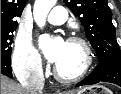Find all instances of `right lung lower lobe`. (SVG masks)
<instances>
[{"label":"right lung lower lobe","instance_id":"98d812e1","mask_svg":"<svg viewBox=\"0 0 121 94\" xmlns=\"http://www.w3.org/2000/svg\"><path fill=\"white\" fill-rule=\"evenodd\" d=\"M1 74L12 77V68L10 59H1Z\"/></svg>","mask_w":121,"mask_h":94}]
</instances>
